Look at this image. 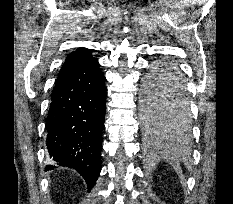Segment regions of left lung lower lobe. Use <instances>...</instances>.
I'll use <instances>...</instances> for the list:
<instances>
[{"mask_svg": "<svg viewBox=\"0 0 233 204\" xmlns=\"http://www.w3.org/2000/svg\"><path fill=\"white\" fill-rule=\"evenodd\" d=\"M159 82H166L171 86L178 87L181 82H183V77L181 76L179 70L175 68L173 65L169 64L167 67L160 69ZM155 130L162 131H179L175 128H167V127H157V128H145L146 132H153Z\"/></svg>", "mask_w": 233, "mask_h": 204, "instance_id": "obj_1", "label": "left lung lower lobe"}]
</instances>
